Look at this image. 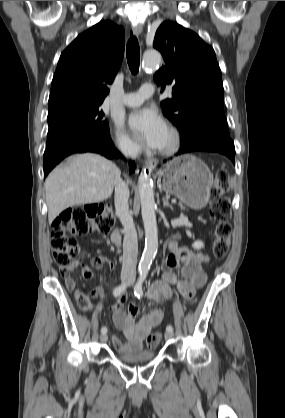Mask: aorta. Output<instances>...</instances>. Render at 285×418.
Returning a JSON list of instances; mask_svg holds the SVG:
<instances>
[{"instance_id":"obj_1","label":"aorta","mask_w":285,"mask_h":418,"mask_svg":"<svg viewBox=\"0 0 285 418\" xmlns=\"http://www.w3.org/2000/svg\"><path fill=\"white\" fill-rule=\"evenodd\" d=\"M161 62L159 52L151 50L143 55V68L155 69ZM141 215L145 230V248L139 263V270L148 272L158 249V229L156 222V204L154 199L153 180L146 172L138 178Z\"/></svg>"}]
</instances>
